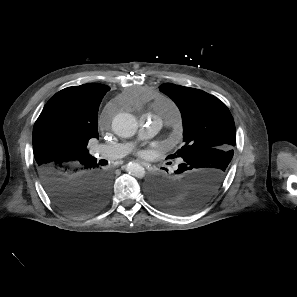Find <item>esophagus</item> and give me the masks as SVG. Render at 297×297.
Here are the masks:
<instances>
[{
    "mask_svg": "<svg viewBox=\"0 0 297 297\" xmlns=\"http://www.w3.org/2000/svg\"><path fill=\"white\" fill-rule=\"evenodd\" d=\"M139 164H141L142 166L149 168V164L143 161H138Z\"/></svg>",
    "mask_w": 297,
    "mask_h": 297,
    "instance_id": "34e87169",
    "label": "esophagus"
}]
</instances>
